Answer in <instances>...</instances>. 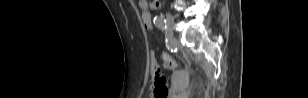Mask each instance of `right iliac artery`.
<instances>
[{
	"label": "right iliac artery",
	"mask_w": 308,
	"mask_h": 98,
	"mask_svg": "<svg viewBox=\"0 0 308 98\" xmlns=\"http://www.w3.org/2000/svg\"><path fill=\"white\" fill-rule=\"evenodd\" d=\"M154 24L156 25V27H158L161 30H165L166 29V21L165 19H163L162 16H156L154 17Z\"/></svg>",
	"instance_id": "obj_1"
}]
</instances>
